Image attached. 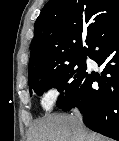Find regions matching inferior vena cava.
I'll return each instance as SVG.
<instances>
[{"mask_svg":"<svg viewBox=\"0 0 119 141\" xmlns=\"http://www.w3.org/2000/svg\"><path fill=\"white\" fill-rule=\"evenodd\" d=\"M73 112L75 114V117L79 120V121H82V116H81V113L79 112L78 109H73Z\"/></svg>","mask_w":119,"mask_h":141,"instance_id":"1","label":"inferior vena cava"}]
</instances>
